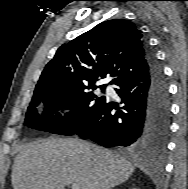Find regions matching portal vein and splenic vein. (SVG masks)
<instances>
[{
	"instance_id": "18ae733b",
	"label": "portal vein and splenic vein",
	"mask_w": 188,
	"mask_h": 189,
	"mask_svg": "<svg viewBox=\"0 0 188 189\" xmlns=\"http://www.w3.org/2000/svg\"><path fill=\"white\" fill-rule=\"evenodd\" d=\"M71 188L72 189H80V186L78 184H72Z\"/></svg>"
}]
</instances>
